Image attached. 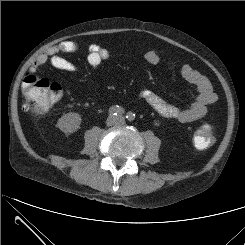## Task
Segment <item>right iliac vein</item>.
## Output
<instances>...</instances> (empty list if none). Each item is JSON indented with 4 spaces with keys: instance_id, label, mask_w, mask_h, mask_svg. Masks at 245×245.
Masks as SVG:
<instances>
[{
    "instance_id": "right-iliac-vein-1",
    "label": "right iliac vein",
    "mask_w": 245,
    "mask_h": 245,
    "mask_svg": "<svg viewBox=\"0 0 245 245\" xmlns=\"http://www.w3.org/2000/svg\"><path fill=\"white\" fill-rule=\"evenodd\" d=\"M115 123H116V120H115V118H113V117H109V118L107 119V121H106V124H107L108 126L114 125Z\"/></svg>"
}]
</instances>
